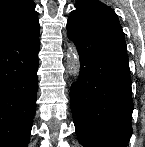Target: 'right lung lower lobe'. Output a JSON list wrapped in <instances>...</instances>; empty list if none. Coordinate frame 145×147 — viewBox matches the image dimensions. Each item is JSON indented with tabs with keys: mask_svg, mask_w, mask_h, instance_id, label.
Segmentation results:
<instances>
[{
	"mask_svg": "<svg viewBox=\"0 0 145 147\" xmlns=\"http://www.w3.org/2000/svg\"><path fill=\"white\" fill-rule=\"evenodd\" d=\"M39 49V25L0 43V147L29 143Z\"/></svg>",
	"mask_w": 145,
	"mask_h": 147,
	"instance_id": "1",
	"label": "right lung lower lobe"
}]
</instances>
